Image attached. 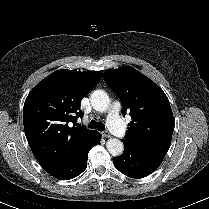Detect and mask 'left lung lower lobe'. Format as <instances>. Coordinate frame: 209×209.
<instances>
[{
	"mask_svg": "<svg viewBox=\"0 0 209 209\" xmlns=\"http://www.w3.org/2000/svg\"><path fill=\"white\" fill-rule=\"evenodd\" d=\"M124 146V153L113 158V163L121 173L132 178L148 176L161 164L165 156V154L135 148L127 143H124Z\"/></svg>",
	"mask_w": 209,
	"mask_h": 209,
	"instance_id": "0a47b994",
	"label": "left lung lower lobe"
}]
</instances>
